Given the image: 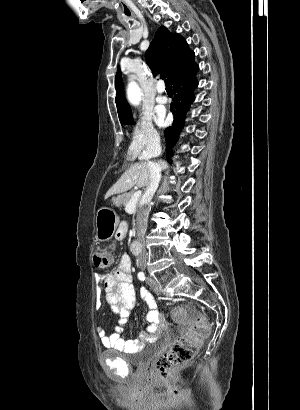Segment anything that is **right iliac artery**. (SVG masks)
Here are the masks:
<instances>
[{
  "instance_id": "right-iliac-artery-1",
  "label": "right iliac artery",
  "mask_w": 300,
  "mask_h": 410,
  "mask_svg": "<svg viewBox=\"0 0 300 410\" xmlns=\"http://www.w3.org/2000/svg\"><path fill=\"white\" fill-rule=\"evenodd\" d=\"M138 279L144 281L146 279L145 274L143 272L138 273Z\"/></svg>"
}]
</instances>
